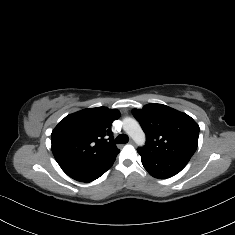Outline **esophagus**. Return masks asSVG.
Masks as SVG:
<instances>
[{
	"mask_svg": "<svg viewBox=\"0 0 235 235\" xmlns=\"http://www.w3.org/2000/svg\"><path fill=\"white\" fill-rule=\"evenodd\" d=\"M129 144L134 145V144H135L134 140H133V139H130V140H129Z\"/></svg>",
	"mask_w": 235,
	"mask_h": 235,
	"instance_id": "1",
	"label": "esophagus"
}]
</instances>
